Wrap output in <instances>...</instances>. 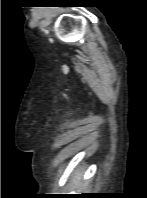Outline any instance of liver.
<instances>
[{"label": "liver", "mask_w": 147, "mask_h": 198, "mask_svg": "<svg viewBox=\"0 0 147 198\" xmlns=\"http://www.w3.org/2000/svg\"><path fill=\"white\" fill-rule=\"evenodd\" d=\"M82 175H83V172H82L81 169H78V170H76L74 172V174L72 176L74 185H76L79 182V180L81 179ZM81 188L84 189V190H86L87 189V185L86 184H83L81 186Z\"/></svg>", "instance_id": "obj_1"}]
</instances>
